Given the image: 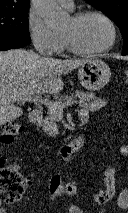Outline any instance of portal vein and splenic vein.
Masks as SVG:
<instances>
[{"mask_svg":"<svg viewBox=\"0 0 128 213\" xmlns=\"http://www.w3.org/2000/svg\"><path fill=\"white\" fill-rule=\"evenodd\" d=\"M19 102H25V101H29V102H33L35 104H42V105H45L47 106L49 109H52V110H59L60 112H63V109L65 107H69V106H72L76 103L75 100H68L66 102H64L63 104H60L59 102L57 101H50L48 99H43L41 96L39 95H30L26 98H23V99H20L18 100Z\"/></svg>","mask_w":128,"mask_h":213,"instance_id":"18ae733b","label":"portal vein and splenic vein"}]
</instances>
